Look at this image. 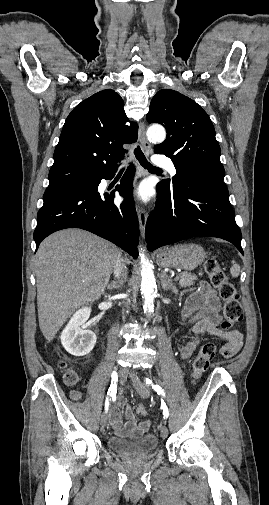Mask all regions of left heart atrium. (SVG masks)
Segmentation results:
<instances>
[{
  "mask_svg": "<svg viewBox=\"0 0 269 505\" xmlns=\"http://www.w3.org/2000/svg\"><path fill=\"white\" fill-rule=\"evenodd\" d=\"M135 197L138 200L146 201L148 199V191L146 187L144 186L138 187L137 190L135 191Z\"/></svg>",
  "mask_w": 269,
  "mask_h": 505,
  "instance_id": "1",
  "label": "left heart atrium"
}]
</instances>
